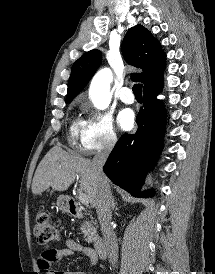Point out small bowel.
Instances as JSON below:
<instances>
[{
    "label": "small bowel",
    "instance_id": "small-bowel-1",
    "mask_svg": "<svg viewBox=\"0 0 215 274\" xmlns=\"http://www.w3.org/2000/svg\"><path fill=\"white\" fill-rule=\"evenodd\" d=\"M77 253H82L86 257H88V259L90 260L92 269L96 266L98 262V256L96 251L93 248L84 246L80 244L79 242L70 238L65 239L64 248H58V249L44 248L38 258V266L41 272H45L47 274H91V272L84 273V272H77V271L55 272L52 269V266L55 263L61 261L64 257H71L76 255Z\"/></svg>",
    "mask_w": 215,
    "mask_h": 274
}]
</instances>
